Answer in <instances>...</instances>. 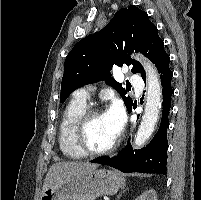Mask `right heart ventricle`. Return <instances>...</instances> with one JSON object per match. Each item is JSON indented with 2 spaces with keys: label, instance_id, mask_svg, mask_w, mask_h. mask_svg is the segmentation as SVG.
<instances>
[{
  "label": "right heart ventricle",
  "instance_id": "obj_1",
  "mask_svg": "<svg viewBox=\"0 0 201 200\" xmlns=\"http://www.w3.org/2000/svg\"><path fill=\"white\" fill-rule=\"evenodd\" d=\"M86 108V101L75 97L68 103L63 113L59 126L58 142L61 152L67 158L81 159L85 156L74 144L73 131L77 119Z\"/></svg>",
  "mask_w": 201,
  "mask_h": 200
}]
</instances>
